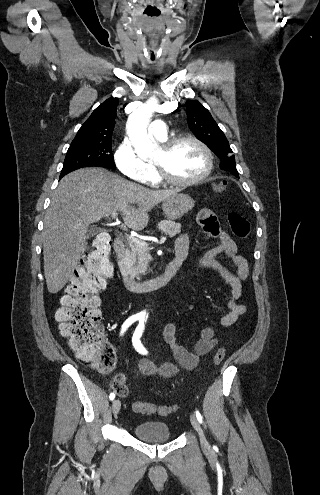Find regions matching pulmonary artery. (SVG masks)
I'll use <instances>...</instances> for the list:
<instances>
[{
	"label": "pulmonary artery",
	"instance_id": "pulmonary-artery-1",
	"mask_svg": "<svg viewBox=\"0 0 320 495\" xmlns=\"http://www.w3.org/2000/svg\"><path fill=\"white\" fill-rule=\"evenodd\" d=\"M149 135L159 139L165 140L167 138V127L164 121L155 120L153 121L148 128Z\"/></svg>",
	"mask_w": 320,
	"mask_h": 495
}]
</instances>
